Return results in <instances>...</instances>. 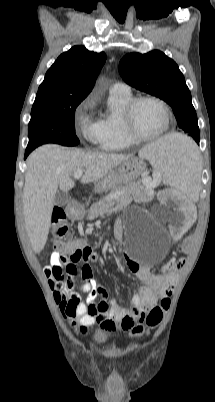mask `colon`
<instances>
[{
  "instance_id": "5ec220e1",
  "label": "colon",
  "mask_w": 215,
  "mask_h": 402,
  "mask_svg": "<svg viewBox=\"0 0 215 402\" xmlns=\"http://www.w3.org/2000/svg\"><path fill=\"white\" fill-rule=\"evenodd\" d=\"M52 222H53V233L56 237H63L68 230V226L66 223V218L63 210L57 208L54 209L52 213ZM86 238L84 235H77L76 238H70L68 241H63L61 243V251L60 254L62 258L58 259L56 263L53 265V269L56 273L61 272H69L75 271L77 269L76 264L82 258V252L80 251L83 248V244L85 243ZM195 241L193 236H188L186 239H181L180 244L178 245V251L181 254H186L188 249L190 248V244ZM60 244H56L55 248H59ZM68 257V258H64ZM183 261L179 260L173 263H170L166 272L176 273L183 267ZM52 287L53 283L50 281ZM55 298L57 301H60L59 294L55 292ZM170 306V299L164 298L161 301L160 306H156L150 310L148 313L145 323L148 327L154 328L157 327L163 319V314L166 309ZM143 332V326L137 325L132 328V334L135 336L141 335Z\"/></svg>"
}]
</instances>
